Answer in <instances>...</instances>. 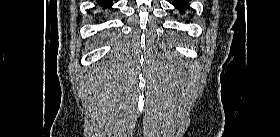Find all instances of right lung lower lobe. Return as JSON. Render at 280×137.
<instances>
[{"mask_svg": "<svg viewBox=\"0 0 280 137\" xmlns=\"http://www.w3.org/2000/svg\"><path fill=\"white\" fill-rule=\"evenodd\" d=\"M100 4L102 5L103 9L105 10L107 7H110L113 5V1L112 0H102L100 2Z\"/></svg>", "mask_w": 280, "mask_h": 137, "instance_id": "obj_1", "label": "right lung lower lobe"}]
</instances>
